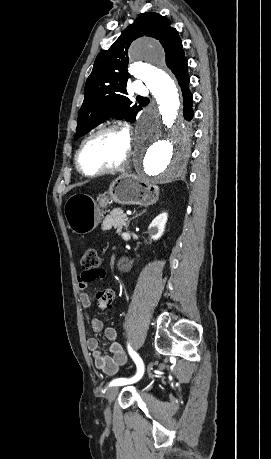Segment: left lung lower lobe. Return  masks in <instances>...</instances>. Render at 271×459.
Listing matches in <instances>:
<instances>
[{
    "label": "left lung lower lobe",
    "instance_id": "obj_1",
    "mask_svg": "<svg viewBox=\"0 0 271 459\" xmlns=\"http://www.w3.org/2000/svg\"><path fill=\"white\" fill-rule=\"evenodd\" d=\"M172 72L176 76L178 83L181 86L184 99V117L186 120H191L193 117V96L189 91L190 77L187 71V59L180 61L179 64L172 70Z\"/></svg>",
    "mask_w": 271,
    "mask_h": 459
}]
</instances>
